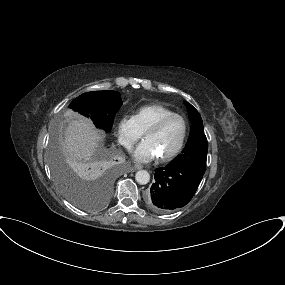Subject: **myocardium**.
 I'll use <instances>...</instances> for the list:
<instances>
[{
    "label": "myocardium",
    "mask_w": 285,
    "mask_h": 285,
    "mask_svg": "<svg viewBox=\"0 0 285 285\" xmlns=\"http://www.w3.org/2000/svg\"><path fill=\"white\" fill-rule=\"evenodd\" d=\"M173 119H180L182 121V123H183V135H182V138H181L179 145L171 153H169L167 155H163V156H158V159L160 161L172 160L182 151V149L185 145V142H186L187 134H188V124H187L186 119L179 114H172V115L163 117L160 120H158L156 123H154L152 126H150L146 131H144V134H143V136L146 137L147 135H149L151 133L158 132L160 129H162L164 127L165 124H167L169 121H171Z\"/></svg>",
    "instance_id": "myocardium-1"
}]
</instances>
